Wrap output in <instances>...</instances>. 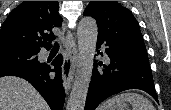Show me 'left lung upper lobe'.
Masks as SVG:
<instances>
[{
  "instance_id": "left-lung-upper-lobe-1",
  "label": "left lung upper lobe",
  "mask_w": 171,
  "mask_h": 110,
  "mask_svg": "<svg viewBox=\"0 0 171 110\" xmlns=\"http://www.w3.org/2000/svg\"><path fill=\"white\" fill-rule=\"evenodd\" d=\"M84 14L96 19L99 39L127 53L148 58L137 20L117 1H90Z\"/></svg>"
}]
</instances>
